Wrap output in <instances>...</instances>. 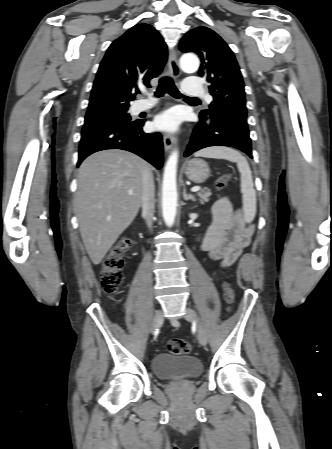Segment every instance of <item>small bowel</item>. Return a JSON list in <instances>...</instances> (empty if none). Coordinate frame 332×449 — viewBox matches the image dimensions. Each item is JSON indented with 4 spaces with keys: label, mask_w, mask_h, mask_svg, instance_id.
I'll list each match as a JSON object with an SVG mask.
<instances>
[{
    "label": "small bowel",
    "mask_w": 332,
    "mask_h": 449,
    "mask_svg": "<svg viewBox=\"0 0 332 449\" xmlns=\"http://www.w3.org/2000/svg\"><path fill=\"white\" fill-rule=\"evenodd\" d=\"M252 231L243 221L241 211L233 208L228 198H221L212 208L211 224L202 238L201 248L222 266H229L248 246Z\"/></svg>",
    "instance_id": "1"
}]
</instances>
